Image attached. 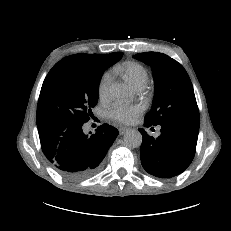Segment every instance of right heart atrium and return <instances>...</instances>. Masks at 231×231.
<instances>
[{
    "mask_svg": "<svg viewBox=\"0 0 231 231\" xmlns=\"http://www.w3.org/2000/svg\"><path fill=\"white\" fill-rule=\"evenodd\" d=\"M111 82H112L111 74L109 72H105L101 76V78L98 82V86H97V92H98V96L100 97V99H102V100L107 99V97L109 95Z\"/></svg>",
    "mask_w": 231,
    "mask_h": 231,
    "instance_id": "right-heart-atrium-1",
    "label": "right heart atrium"
}]
</instances>
